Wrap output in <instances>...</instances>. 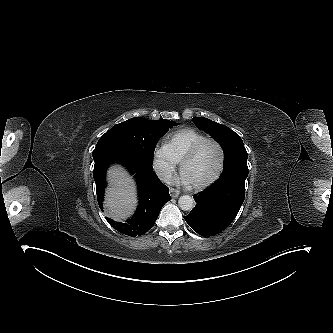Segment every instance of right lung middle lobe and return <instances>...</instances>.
<instances>
[{"mask_svg":"<svg viewBox=\"0 0 333 333\" xmlns=\"http://www.w3.org/2000/svg\"><path fill=\"white\" fill-rule=\"evenodd\" d=\"M175 124L170 120L150 121L136 117L113 126L105 134L116 136L130 145L149 165L153 163V155L158 139ZM177 125V124H176Z\"/></svg>","mask_w":333,"mask_h":333,"instance_id":"dd1d6c3e","label":"right lung middle lobe"}]
</instances>
